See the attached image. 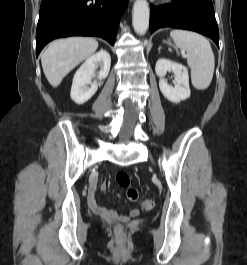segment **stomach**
I'll use <instances>...</instances> for the list:
<instances>
[{"mask_svg": "<svg viewBox=\"0 0 247 265\" xmlns=\"http://www.w3.org/2000/svg\"><path fill=\"white\" fill-rule=\"evenodd\" d=\"M166 43L170 44V41H167Z\"/></svg>", "mask_w": 247, "mask_h": 265, "instance_id": "0dacf381", "label": "stomach"}]
</instances>
